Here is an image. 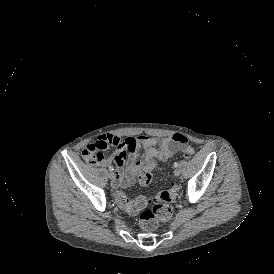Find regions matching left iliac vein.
<instances>
[{"label": "left iliac vein", "instance_id": "1", "mask_svg": "<svg viewBox=\"0 0 274 274\" xmlns=\"http://www.w3.org/2000/svg\"><path fill=\"white\" fill-rule=\"evenodd\" d=\"M174 175H175V176H179V175H180V170H179L178 168H176V169L174 170Z\"/></svg>", "mask_w": 274, "mask_h": 274}]
</instances>
